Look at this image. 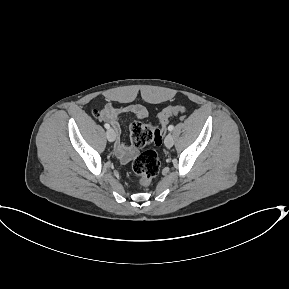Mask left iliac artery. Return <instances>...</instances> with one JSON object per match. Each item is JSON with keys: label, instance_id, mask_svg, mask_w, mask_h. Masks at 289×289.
Segmentation results:
<instances>
[{"label": "left iliac artery", "instance_id": "44dca946", "mask_svg": "<svg viewBox=\"0 0 289 289\" xmlns=\"http://www.w3.org/2000/svg\"><path fill=\"white\" fill-rule=\"evenodd\" d=\"M173 129H174V126H173V125H169V126H168V130H169V131H172Z\"/></svg>", "mask_w": 289, "mask_h": 289}]
</instances>
